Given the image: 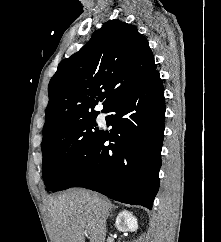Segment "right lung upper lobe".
<instances>
[{
    "label": "right lung upper lobe",
    "mask_w": 221,
    "mask_h": 242,
    "mask_svg": "<svg viewBox=\"0 0 221 242\" xmlns=\"http://www.w3.org/2000/svg\"><path fill=\"white\" fill-rule=\"evenodd\" d=\"M156 64L136 26L114 19L96 30L77 53L62 60L49 87L43 136L82 116L103 112L122 94L144 82Z\"/></svg>",
    "instance_id": "obj_1"
}]
</instances>
